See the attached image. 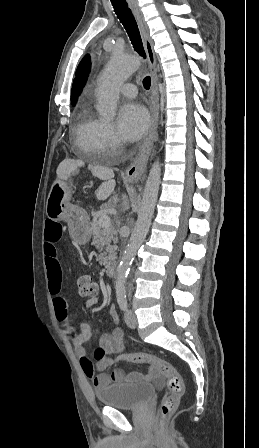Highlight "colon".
Here are the masks:
<instances>
[{
    "label": "colon",
    "instance_id": "5ec220e1",
    "mask_svg": "<svg viewBox=\"0 0 259 448\" xmlns=\"http://www.w3.org/2000/svg\"><path fill=\"white\" fill-rule=\"evenodd\" d=\"M97 284L89 275H81L77 278V293L81 298L92 297L97 294ZM95 358L101 361L107 357L106 351L99 347L95 351ZM114 361L133 363H147L158 368L167 379L169 395L166 396L158 410L157 429L162 430L170 415L177 409L180 399L184 394V383L178 371L166 360L146 353L120 354Z\"/></svg>",
    "mask_w": 259,
    "mask_h": 448
}]
</instances>
